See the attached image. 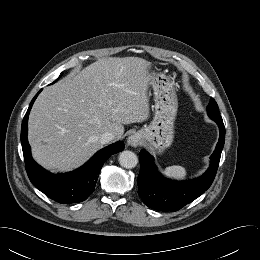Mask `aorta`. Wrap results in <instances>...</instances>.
Returning a JSON list of instances; mask_svg holds the SVG:
<instances>
[{"instance_id":"aorta-1","label":"aorta","mask_w":260,"mask_h":260,"mask_svg":"<svg viewBox=\"0 0 260 260\" xmlns=\"http://www.w3.org/2000/svg\"><path fill=\"white\" fill-rule=\"evenodd\" d=\"M119 163L126 169H132L137 165L138 157L134 152L126 150L120 153Z\"/></svg>"}]
</instances>
